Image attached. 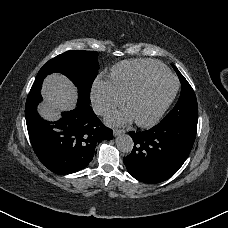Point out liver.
Wrapping results in <instances>:
<instances>
[{"instance_id": "1", "label": "liver", "mask_w": 228, "mask_h": 228, "mask_svg": "<svg viewBox=\"0 0 228 228\" xmlns=\"http://www.w3.org/2000/svg\"><path fill=\"white\" fill-rule=\"evenodd\" d=\"M42 96L44 101L38 106V112L48 121H56L61 115L60 111H69L75 108L77 101V88L64 75L53 73L43 82Z\"/></svg>"}]
</instances>
